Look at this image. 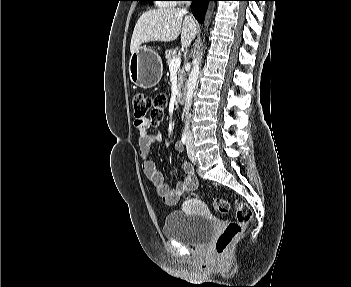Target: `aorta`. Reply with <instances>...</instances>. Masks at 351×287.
<instances>
[{
  "mask_svg": "<svg viewBox=\"0 0 351 287\" xmlns=\"http://www.w3.org/2000/svg\"><path fill=\"white\" fill-rule=\"evenodd\" d=\"M203 57V49L200 50V52L197 54L196 58L193 60V67L192 70L189 74V78L187 81V92H186V97H185V116L188 118L189 116V110L191 107V101L193 97V93L195 90V87L198 82V76L200 73V66H201V60Z\"/></svg>",
  "mask_w": 351,
  "mask_h": 287,
  "instance_id": "1",
  "label": "aorta"
}]
</instances>
